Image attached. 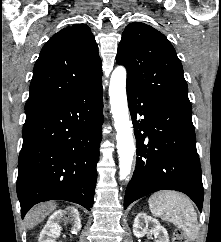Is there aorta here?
I'll list each match as a JSON object with an SVG mask.
<instances>
[{
    "mask_svg": "<svg viewBox=\"0 0 221 242\" xmlns=\"http://www.w3.org/2000/svg\"><path fill=\"white\" fill-rule=\"evenodd\" d=\"M111 113L117 132V151L119 155V178L126 179L131 172L135 144L126 95V69L117 66L111 74L109 84Z\"/></svg>",
    "mask_w": 221,
    "mask_h": 242,
    "instance_id": "1",
    "label": "aorta"
}]
</instances>
